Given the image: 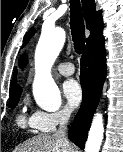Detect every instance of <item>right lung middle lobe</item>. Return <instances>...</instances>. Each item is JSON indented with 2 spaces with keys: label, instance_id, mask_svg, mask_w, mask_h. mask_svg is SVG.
Listing matches in <instances>:
<instances>
[{
  "label": "right lung middle lobe",
  "instance_id": "right-lung-middle-lobe-1",
  "mask_svg": "<svg viewBox=\"0 0 123 152\" xmlns=\"http://www.w3.org/2000/svg\"><path fill=\"white\" fill-rule=\"evenodd\" d=\"M21 92L22 91H18L12 95H10V98H9V107L10 108H14L16 106V104L18 103L19 101V97L21 95Z\"/></svg>",
  "mask_w": 123,
  "mask_h": 152
}]
</instances>
